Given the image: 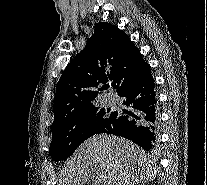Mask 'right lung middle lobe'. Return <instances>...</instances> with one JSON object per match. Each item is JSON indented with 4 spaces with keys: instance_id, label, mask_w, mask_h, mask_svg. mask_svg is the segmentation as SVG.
<instances>
[{
    "instance_id": "right-lung-middle-lobe-1",
    "label": "right lung middle lobe",
    "mask_w": 207,
    "mask_h": 185,
    "mask_svg": "<svg viewBox=\"0 0 207 185\" xmlns=\"http://www.w3.org/2000/svg\"><path fill=\"white\" fill-rule=\"evenodd\" d=\"M116 117V112L111 108H96L51 128V158L55 162L65 160L82 142L99 134L105 126L115 121Z\"/></svg>"
}]
</instances>
